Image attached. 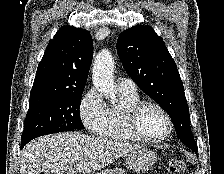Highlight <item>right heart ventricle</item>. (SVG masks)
I'll return each instance as SVG.
<instances>
[{
	"instance_id": "1",
	"label": "right heart ventricle",
	"mask_w": 224,
	"mask_h": 174,
	"mask_svg": "<svg viewBox=\"0 0 224 174\" xmlns=\"http://www.w3.org/2000/svg\"><path fill=\"white\" fill-rule=\"evenodd\" d=\"M137 93L130 94L120 91V103L107 108L106 123L99 134L102 138L115 141H136L137 139L128 131L124 114L128 107L139 101Z\"/></svg>"
}]
</instances>
